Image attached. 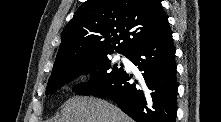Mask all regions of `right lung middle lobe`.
Returning a JSON list of instances; mask_svg holds the SVG:
<instances>
[{
    "label": "right lung middle lobe",
    "instance_id": "obj_1",
    "mask_svg": "<svg viewBox=\"0 0 221 122\" xmlns=\"http://www.w3.org/2000/svg\"><path fill=\"white\" fill-rule=\"evenodd\" d=\"M123 71V68L118 67V64H112L107 55L87 60L52 75L48 81L46 95L53 94L62 85L69 83L83 73L91 74V79L87 83L74 87L73 91L78 95H92L107 87Z\"/></svg>",
    "mask_w": 221,
    "mask_h": 122
}]
</instances>
